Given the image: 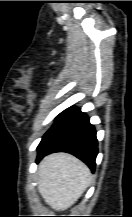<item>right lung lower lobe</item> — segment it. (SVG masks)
<instances>
[{
  "label": "right lung lower lobe",
  "instance_id": "1",
  "mask_svg": "<svg viewBox=\"0 0 132 217\" xmlns=\"http://www.w3.org/2000/svg\"><path fill=\"white\" fill-rule=\"evenodd\" d=\"M37 150L36 162L52 152H67L81 159L94 171L98 153L96 131L85 113L79 108L70 107L58 115Z\"/></svg>",
  "mask_w": 132,
  "mask_h": 217
}]
</instances>
